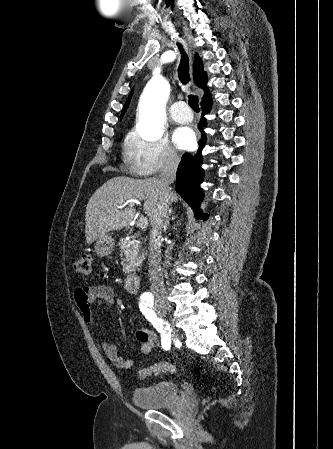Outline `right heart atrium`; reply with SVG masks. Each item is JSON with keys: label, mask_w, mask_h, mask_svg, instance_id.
<instances>
[{"label": "right heart atrium", "mask_w": 333, "mask_h": 449, "mask_svg": "<svg viewBox=\"0 0 333 449\" xmlns=\"http://www.w3.org/2000/svg\"><path fill=\"white\" fill-rule=\"evenodd\" d=\"M126 158L140 176H154L177 167L180 158L165 138L148 140L132 134L126 144Z\"/></svg>", "instance_id": "1"}]
</instances>
